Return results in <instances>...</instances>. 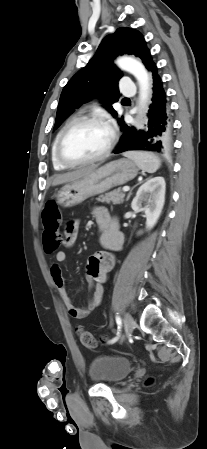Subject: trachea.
Segmentation results:
<instances>
[{
    "label": "trachea",
    "instance_id": "3493384b",
    "mask_svg": "<svg viewBox=\"0 0 207 449\" xmlns=\"http://www.w3.org/2000/svg\"><path fill=\"white\" fill-rule=\"evenodd\" d=\"M127 100H129L128 98H123V101H127Z\"/></svg>",
    "mask_w": 207,
    "mask_h": 449
}]
</instances>
